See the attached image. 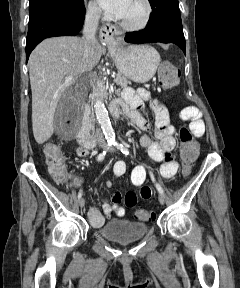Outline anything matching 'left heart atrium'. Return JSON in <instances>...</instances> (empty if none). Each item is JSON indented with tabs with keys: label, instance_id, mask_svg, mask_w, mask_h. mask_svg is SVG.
Returning <instances> with one entry per match:
<instances>
[{
	"label": "left heart atrium",
	"instance_id": "obj_1",
	"mask_svg": "<svg viewBox=\"0 0 240 288\" xmlns=\"http://www.w3.org/2000/svg\"><path fill=\"white\" fill-rule=\"evenodd\" d=\"M130 0H98L100 6L110 15L122 18Z\"/></svg>",
	"mask_w": 240,
	"mask_h": 288
}]
</instances>
